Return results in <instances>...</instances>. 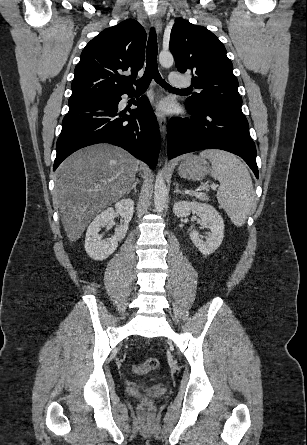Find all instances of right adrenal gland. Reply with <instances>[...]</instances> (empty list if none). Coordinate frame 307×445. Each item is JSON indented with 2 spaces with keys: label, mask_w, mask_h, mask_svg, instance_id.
<instances>
[{
  "label": "right adrenal gland",
  "mask_w": 307,
  "mask_h": 445,
  "mask_svg": "<svg viewBox=\"0 0 307 445\" xmlns=\"http://www.w3.org/2000/svg\"><path fill=\"white\" fill-rule=\"evenodd\" d=\"M138 182H139L138 178H135V180H134L131 188H129L127 194H130L131 190H134V192H137L136 186H137Z\"/></svg>",
  "instance_id": "right-adrenal-gland-1"
}]
</instances>
